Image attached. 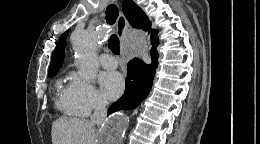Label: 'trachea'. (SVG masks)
I'll use <instances>...</instances> for the list:
<instances>
[{
  "label": "trachea",
  "mask_w": 260,
  "mask_h": 144,
  "mask_svg": "<svg viewBox=\"0 0 260 144\" xmlns=\"http://www.w3.org/2000/svg\"><path fill=\"white\" fill-rule=\"evenodd\" d=\"M118 15H119V11L117 6L114 4L108 5V7L106 8V16H105L107 23L111 25L114 24L116 19L118 18ZM108 46L113 53L119 55L120 46H119V39L116 34L110 36V39L108 41Z\"/></svg>",
  "instance_id": "3493384b"
}]
</instances>
